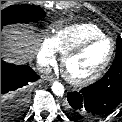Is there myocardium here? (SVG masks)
<instances>
[{
  "label": "myocardium",
  "mask_w": 122,
  "mask_h": 122,
  "mask_svg": "<svg viewBox=\"0 0 122 122\" xmlns=\"http://www.w3.org/2000/svg\"><path fill=\"white\" fill-rule=\"evenodd\" d=\"M102 40H108L111 43L110 53H109L107 59L104 61V63L95 72H93L92 74H90L89 76H86L84 78H74L71 75H69V73L67 72L68 62L72 58L80 55L83 51H85L91 45H93L99 41H102ZM114 53H115V42L109 36L102 35V36H98V37H94V38L85 40L84 42L75 46L74 48H72L71 50H69L62 56L61 65H62L63 74H64L65 78L67 79V81L70 82L74 86H85V85L91 84L94 81H96L98 78H100V76L108 68V66L110 65V63L113 59Z\"/></svg>",
  "instance_id": "1"
}]
</instances>
